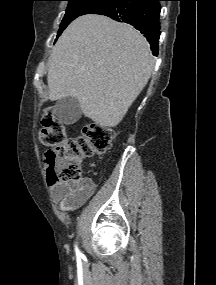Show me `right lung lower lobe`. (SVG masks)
Wrapping results in <instances>:
<instances>
[{
    "label": "right lung lower lobe",
    "mask_w": 216,
    "mask_h": 285,
    "mask_svg": "<svg viewBox=\"0 0 216 285\" xmlns=\"http://www.w3.org/2000/svg\"><path fill=\"white\" fill-rule=\"evenodd\" d=\"M162 0H115L93 14L108 16L129 23L139 30L150 43L152 53L158 54L160 37L159 12Z\"/></svg>",
    "instance_id": "right-lung-lower-lobe-1"
}]
</instances>
